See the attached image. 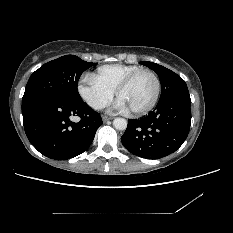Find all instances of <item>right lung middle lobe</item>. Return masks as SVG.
Segmentation results:
<instances>
[{"mask_svg":"<svg viewBox=\"0 0 233 233\" xmlns=\"http://www.w3.org/2000/svg\"><path fill=\"white\" fill-rule=\"evenodd\" d=\"M95 65L75 55H66L42 65L29 78L22 103L43 96L60 97L77 101L81 97L77 90L81 74Z\"/></svg>","mask_w":233,"mask_h":233,"instance_id":"dd1d6c3e","label":"right lung middle lobe"}]
</instances>
